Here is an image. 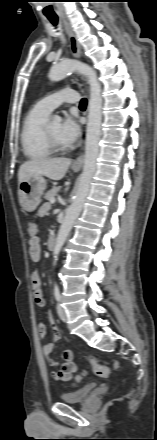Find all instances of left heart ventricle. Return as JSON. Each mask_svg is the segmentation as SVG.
I'll use <instances>...</instances> for the list:
<instances>
[{
  "instance_id": "left-heart-ventricle-1",
  "label": "left heart ventricle",
  "mask_w": 157,
  "mask_h": 440,
  "mask_svg": "<svg viewBox=\"0 0 157 440\" xmlns=\"http://www.w3.org/2000/svg\"><path fill=\"white\" fill-rule=\"evenodd\" d=\"M48 130L50 132V134L52 135V137L59 143L61 144H65L60 136V125L59 124H49L48 125Z\"/></svg>"
}]
</instances>
